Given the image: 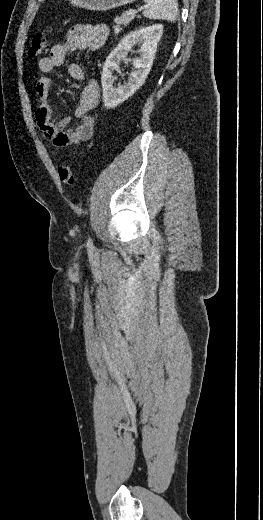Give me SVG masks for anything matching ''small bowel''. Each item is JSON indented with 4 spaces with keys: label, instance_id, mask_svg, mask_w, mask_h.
I'll return each mask as SVG.
<instances>
[{
    "label": "small bowel",
    "instance_id": "obj_1",
    "mask_svg": "<svg viewBox=\"0 0 263 520\" xmlns=\"http://www.w3.org/2000/svg\"><path fill=\"white\" fill-rule=\"evenodd\" d=\"M108 35L104 25H82L71 27L63 43L51 48L48 57L41 58L37 64L38 78L35 92L38 98L36 122L44 137L57 148H67L88 141L94 134L96 119L89 112L99 101L100 89L95 79L86 82L80 92L79 101L74 110L78 123L71 127V119L56 120L50 105L52 80L48 77L55 67L62 65L68 54L77 50L96 51L102 47ZM69 75L76 81H83V69L76 63L68 65Z\"/></svg>",
    "mask_w": 263,
    "mask_h": 520
}]
</instances>
